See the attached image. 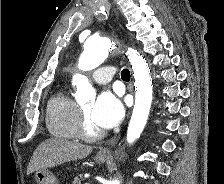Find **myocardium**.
<instances>
[{"mask_svg": "<svg viewBox=\"0 0 224 184\" xmlns=\"http://www.w3.org/2000/svg\"><path fill=\"white\" fill-rule=\"evenodd\" d=\"M77 134L78 137L87 141H95L103 136V132L90 123L88 117L81 108H79Z\"/></svg>", "mask_w": 224, "mask_h": 184, "instance_id": "f54148a6", "label": "myocardium"}]
</instances>
